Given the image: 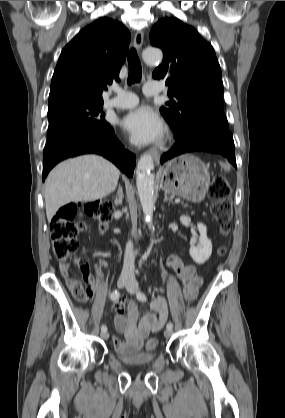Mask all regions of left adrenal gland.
<instances>
[{
  "mask_svg": "<svg viewBox=\"0 0 285 418\" xmlns=\"http://www.w3.org/2000/svg\"><path fill=\"white\" fill-rule=\"evenodd\" d=\"M167 201H168V202H171V203H174V202H173V199H172V198H169V197L167 196V194L165 193V194H164V202H167Z\"/></svg>",
  "mask_w": 285,
  "mask_h": 418,
  "instance_id": "obj_1",
  "label": "left adrenal gland"
}]
</instances>
